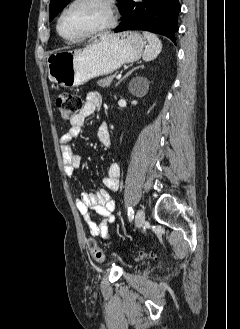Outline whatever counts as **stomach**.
I'll use <instances>...</instances> for the list:
<instances>
[{
  "label": "stomach",
  "mask_w": 240,
  "mask_h": 329,
  "mask_svg": "<svg viewBox=\"0 0 240 329\" xmlns=\"http://www.w3.org/2000/svg\"><path fill=\"white\" fill-rule=\"evenodd\" d=\"M145 45L137 32L102 34L83 49L51 54L47 59L49 77L63 87H78L139 60Z\"/></svg>",
  "instance_id": "obj_1"
}]
</instances>
